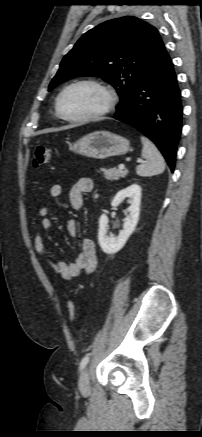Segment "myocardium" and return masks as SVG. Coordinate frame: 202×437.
Returning a JSON list of instances; mask_svg holds the SVG:
<instances>
[{
	"instance_id": "f54148a6",
	"label": "myocardium",
	"mask_w": 202,
	"mask_h": 437,
	"mask_svg": "<svg viewBox=\"0 0 202 437\" xmlns=\"http://www.w3.org/2000/svg\"><path fill=\"white\" fill-rule=\"evenodd\" d=\"M80 85H90L97 89H99L106 98L105 104L102 108L99 110L89 113L86 115L78 116V117H70L67 116L61 107V101L63 96L66 94L67 91H69L71 88L80 86ZM117 94L116 92L109 86L105 85L102 82H99L97 80L93 79H80L77 81H74L67 85L63 90L59 93L57 99H56V112L59 115L60 118H62L65 121L72 122V123H84V122H90L95 121L103 118L107 114H109L115 107L117 103Z\"/></svg>"
}]
</instances>
